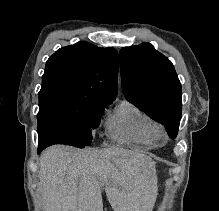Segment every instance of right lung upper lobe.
<instances>
[{
	"label": "right lung upper lobe",
	"mask_w": 219,
	"mask_h": 211,
	"mask_svg": "<svg viewBox=\"0 0 219 211\" xmlns=\"http://www.w3.org/2000/svg\"><path fill=\"white\" fill-rule=\"evenodd\" d=\"M118 54L81 41L58 49L46 62L39 96L66 95L111 103L117 95Z\"/></svg>",
	"instance_id": "right-lung-upper-lobe-1"
}]
</instances>
